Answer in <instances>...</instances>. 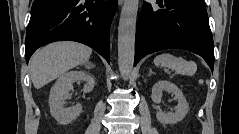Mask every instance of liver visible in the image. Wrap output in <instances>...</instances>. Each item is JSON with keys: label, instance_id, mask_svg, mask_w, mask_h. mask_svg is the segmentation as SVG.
Returning <instances> with one entry per match:
<instances>
[{"label": "liver", "instance_id": "6515ba94", "mask_svg": "<svg viewBox=\"0 0 239 134\" xmlns=\"http://www.w3.org/2000/svg\"><path fill=\"white\" fill-rule=\"evenodd\" d=\"M92 49L77 42H55L35 52L30 60V76L39 89L75 66L86 63Z\"/></svg>", "mask_w": 239, "mask_h": 134}]
</instances>
